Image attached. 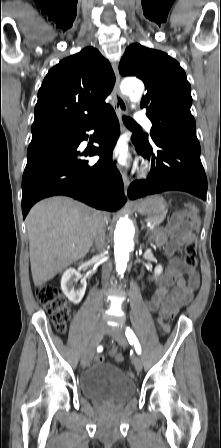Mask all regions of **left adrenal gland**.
Instances as JSON below:
<instances>
[{"instance_id":"obj_1","label":"left adrenal gland","mask_w":221,"mask_h":448,"mask_svg":"<svg viewBox=\"0 0 221 448\" xmlns=\"http://www.w3.org/2000/svg\"><path fill=\"white\" fill-rule=\"evenodd\" d=\"M145 228V224L142 222V229H144Z\"/></svg>"}]
</instances>
